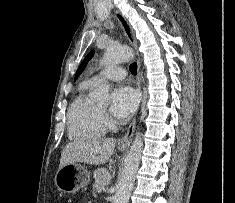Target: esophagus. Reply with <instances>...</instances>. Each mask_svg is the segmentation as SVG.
<instances>
[{"label":"esophagus","instance_id":"obj_1","mask_svg":"<svg viewBox=\"0 0 235 203\" xmlns=\"http://www.w3.org/2000/svg\"><path fill=\"white\" fill-rule=\"evenodd\" d=\"M115 16L118 22L120 23L121 27L123 28L127 39L129 40L131 45L134 47L136 54L138 56L137 41H136L135 33L132 27L130 26L129 22L125 19V17L119 11H115ZM137 66H138L137 83H138L139 88H141V73H140L141 62H140L139 56L137 59ZM135 125H136V118L133 119V121L128 127L126 134L120 139L119 141L120 146H130L133 135H134V131H135Z\"/></svg>","mask_w":235,"mask_h":203}]
</instances>
